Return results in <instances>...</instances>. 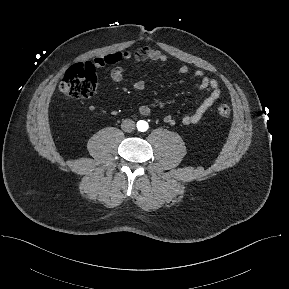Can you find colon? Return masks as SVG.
I'll return each instance as SVG.
<instances>
[{"label": "colon", "instance_id": "obj_1", "mask_svg": "<svg viewBox=\"0 0 289 289\" xmlns=\"http://www.w3.org/2000/svg\"><path fill=\"white\" fill-rule=\"evenodd\" d=\"M59 88L71 98L84 99L92 96L99 89L95 65L84 62L72 66L61 79ZM217 110L222 117L228 118L231 115V109L226 104L219 105Z\"/></svg>", "mask_w": 289, "mask_h": 289}]
</instances>
